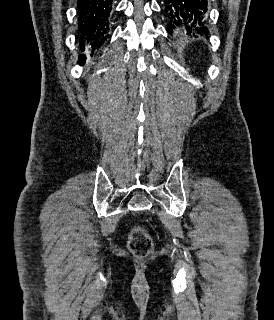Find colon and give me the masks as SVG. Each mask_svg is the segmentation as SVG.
I'll return each mask as SVG.
<instances>
[{
  "label": "colon",
  "instance_id": "obj_1",
  "mask_svg": "<svg viewBox=\"0 0 274 320\" xmlns=\"http://www.w3.org/2000/svg\"><path fill=\"white\" fill-rule=\"evenodd\" d=\"M129 250L139 258L147 256L153 249V241L147 234L145 227L136 226L130 233Z\"/></svg>",
  "mask_w": 274,
  "mask_h": 320
}]
</instances>
